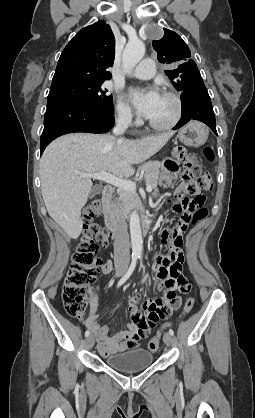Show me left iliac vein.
Masks as SVG:
<instances>
[{"mask_svg": "<svg viewBox=\"0 0 255 418\" xmlns=\"http://www.w3.org/2000/svg\"><path fill=\"white\" fill-rule=\"evenodd\" d=\"M163 341L167 346L172 345V336L169 333H165L163 336Z\"/></svg>", "mask_w": 255, "mask_h": 418, "instance_id": "1", "label": "left iliac vein"}]
</instances>
